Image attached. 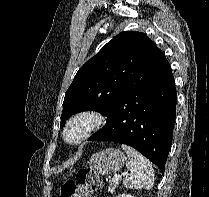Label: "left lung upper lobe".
<instances>
[{
	"label": "left lung upper lobe",
	"mask_w": 209,
	"mask_h": 197,
	"mask_svg": "<svg viewBox=\"0 0 209 197\" xmlns=\"http://www.w3.org/2000/svg\"><path fill=\"white\" fill-rule=\"evenodd\" d=\"M161 52L144 33L118 34L75 75L65 93L61 126L81 111L93 110L107 116L116 102L144 77Z\"/></svg>",
	"instance_id": "1"
}]
</instances>
